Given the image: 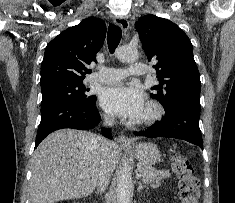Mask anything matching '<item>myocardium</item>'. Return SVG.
Instances as JSON below:
<instances>
[{
  "label": "myocardium",
  "mask_w": 235,
  "mask_h": 203,
  "mask_svg": "<svg viewBox=\"0 0 235 203\" xmlns=\"http://www.w3.org/2000/svg\"><path fill=\"white\" fill-rule=\"evenodd\" d=\"M145 111L146 114L136 122L138 126L150 127L156 124L164 115L163 107L157 102H149Z\"/></svg>",
  "instance_id": "myocardium-1"
}]
</instances>
